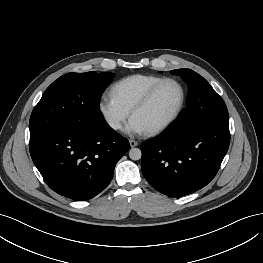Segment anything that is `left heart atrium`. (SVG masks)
<instances>
[{"instance_id": "left-heart-atrium-1", "label": "left heart atrium", "mask_w": 263, "mask_h": 263, "mask_svg": "<svg viewBox=\"0 0 263 263\" xmlns=\"http://www.w3.org/2000/svg\"><path fill=\"white\" fill-rule=\"evenodd\" d=\"M126 132L129 134H140L144 132L143 127L134 118H131L125 128Z\"/></svg>"}]
</instances>
